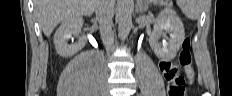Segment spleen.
Returning <instances> with one entry per match:
<instances>
[{
  "label": "spleen",
  "instance_id": "obj_1",
  "mask_svg": "<svg viewBox=\"0 0 232 96\" xmlns=\"http://www.w3.org/2000/svg\"><path fill=\"white\" fill-rule=\"evenodd\" d=\"M182 13L191 20H197L202 13L201 0H177Z\"/></svg>",
  "mask_w": 232,
  "mask_h": 96
}]
</instances>
